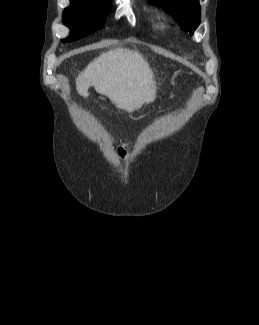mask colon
<instances>
[{
  "label": "colon",
  "instance_id": "colon-1",
  "mask_svg": "<svg viewBox=\"0 0 259 325\" xmlns=\"http://www.w3.org/2000/svg\"><path fill=\"white\" fill-rule=\"evenodd\" d=\"M116 149H117V153L121 157H125V156H128L129 155V149H128V147L124 143H122V142L117 143Z\"/></svg>",
  "mask_w": 259,
  "mask_h": 325
}]
</instances>
